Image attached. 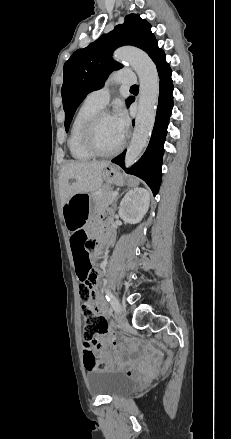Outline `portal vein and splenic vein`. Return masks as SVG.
Returning <instances> with one entry per match:
<instances>
[{"mask_svg": "<svg viewBox=\"0 0 231 439\" xmlns=\"http://www.w3.org/2000/svg\"><path fill=\"white\" fill-rule=\"evenodd\" d=\"M117 195H118V192H117V191H115V192L112 193V196H114V197L117 196Z\"/></svg>", "mask_w": 231, "mask_h": 439, "instance_id": "1", "label": "portal vein and splenic vein"}]
</instances>
